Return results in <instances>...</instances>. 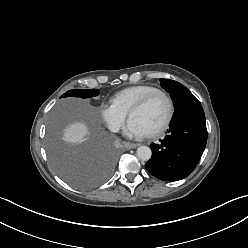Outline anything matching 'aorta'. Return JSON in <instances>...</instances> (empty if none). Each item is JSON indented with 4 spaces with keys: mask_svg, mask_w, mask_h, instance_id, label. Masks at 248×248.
I'll use <instances>...</instances> for the list:
<instances>
[{
    "mask_svg": "<svg viewBox=\"0 0 248 248\" xmlns=\"http://www.w3.org/2000/svg\"><path fill=\"white\" fill-rule=\"evenodd\" d=\"M136 153H137V157L143 161H148L152 155V151L148 146L138 147Z\"/></svg>",
    "mask_w": 248,
    "mask_h": 248,
    "instance_id": "aorta-1",
    "label": "aorta"
}]
</instances>
